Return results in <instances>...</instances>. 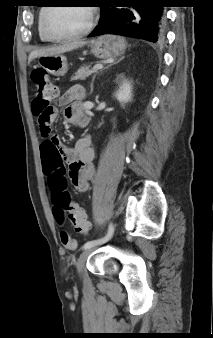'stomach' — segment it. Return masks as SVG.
Here are the masks:
<instances>
[{"mask_svg": "<svg viewBox=\"0 0 213 338\" xmlns=\"http://www.w3.org/2000/svg\"><path fill=\"white\" fill-rule=\"evenodd\" d=\"M91 53L99 59H115L124 54L127 43L121 36L103 35L89 42ZM38 65L47 73L63 76L68 70L64 55L40 56Z\"/></svg>", "mask_w": 213, "mask_h": 338, "instance_id": "1", "label": "stomach"}]
</instances>
